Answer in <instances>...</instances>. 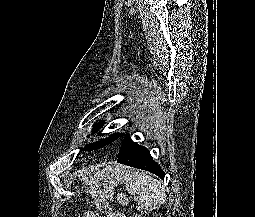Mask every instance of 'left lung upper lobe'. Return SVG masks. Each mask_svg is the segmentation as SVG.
Masks as SVG:
<instances>
[{
	"instance_id": "1",
	"label": "left lung upper lobe",
	"mask_w": 255,
	"mask_h": 217,
	"mask_svg": "<svg viewBox=\"0 0 255 217\" xmlns=\"http://www.w3.org/2000/svg\"><path fill=\"white\" fill-rule=\"evenodd\" d=\"M103 125V123H99L97 125V127H95L93 129V131H98L100 129V127ZM121 136V134L117 133V134H113V135H110L108 138H105V139H102V140H99L95 143H90L88 144L87 146H85L84 148H82L81 150L82 151H92V150H97L99 148H102L106 145H109L111 144L112 142H114L115 140H117L119 137Z\"/></svg>"
}]
</instances>
